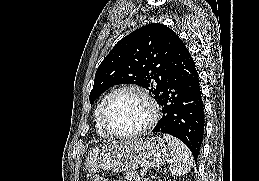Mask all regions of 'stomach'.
I'll return each instance as SVG.
<instances>
[{
    "mask_svg": "<svg viewBox=\"0 0 259 181\" xmlns=\"http://www.w3.org/2000/svg\"><path fill=\"white\" fill-rule=\"evenodd\" d=\"M169 152L165 141L158 137L115 142L91 150L85 166L90 172L158 168L168 160Z\"/></svg>",
    "mask_w": 259,
    "mask_h": 181,
    "instance_id": "1",
    "label": "stomach"
}]
</instances>
